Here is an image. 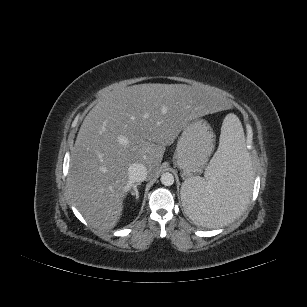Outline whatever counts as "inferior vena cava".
I'll list each match as a JSON object with an SVG mask.
<instances>
[{
    "label": "inferior vena cava",
    "instance_id": "obj_1",
    "mask_svg": "<svg viewBox=\"0 0 307 307\" xmlns=\"http://www.w3.org/2000/svg\"><path fill=\"white\" fill-rule=\"evenodd\" d=\"M128 176L131 182H142L147 177V168L141 163H133L128 168Z\"/></svg>",
    "mask_w": 307,
    "mask_h": 307
}]
</instances>
